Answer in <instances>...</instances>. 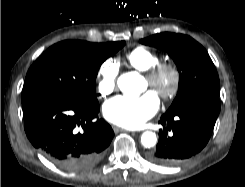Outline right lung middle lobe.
I'll list each match as a JSON object with an SVG mask.
<instances>
[{"label":"right lung middle lobe","instance_id":"1","mask_svg":"<svg viewBox=\"0 0 245 187\" xmlns=\"http://www.w3.org/2000/svg\"><path fill=\"white\" fill-rule=\"evenodd\" d=\"M124 41L89 43L67 40L51 46L27 72L21 101L59 96L98 106L95 81L100 65Z\"/></svg>","mask_w":245,"mask_h":187}]
</instances>
